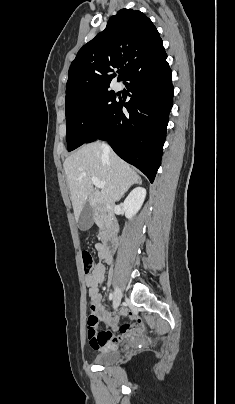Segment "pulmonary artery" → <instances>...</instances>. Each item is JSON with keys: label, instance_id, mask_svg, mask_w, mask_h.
I'll return each instance as SVG.
<instances>
[{"label": "pulmonary artery", "instance_id": "obj_1", "mask_svg": "<svg viewBox=\"0 0 235 404\" xmlns=\"http://www.w3.org/2000/svg\"><path fill=\"white\" fill-rule=\"evenodd\" d=\"M115 89H116V90H120V89H121V84L116 83V84H115Z\"/></svg>", "mask_w": 235, "mask_h": 404}]
</instances>
